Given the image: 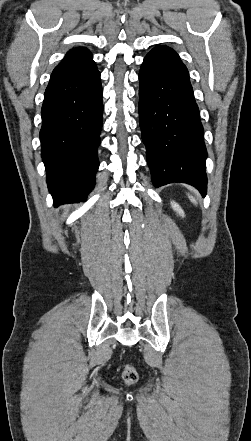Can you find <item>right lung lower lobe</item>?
Returning a JSON list of instances; mask_svg holds the SVG:
<instances>
[{"mask_svg":"<svg viewBox=\"0 0 251 441\" xmlns=\"http://www.w3.org/2000/svg\"><path fill=\"white\" fill-rule=\"evenodd\" d=\"M102 114V86L96 65L52 72L41 110L40 140L55 206L84 201L93 189Z\"/></svg>","mask_w":251,"mask_h":441,"instance_id":"obj_1","label":"right lung lower lobe"}]
</instances>
